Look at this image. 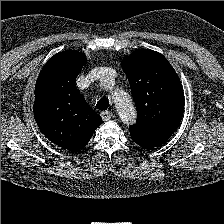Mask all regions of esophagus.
Instances as JSON below:
<instances>
[{
	"label": "esophagus",
	"mask_w": 224,
	"mask_h": 224,
	"mask_svg": "<svg viewBox=\"0 0 224 224\" xmlns=\"http://www.w3.org/2000/svg\"><path fill=\"white\" fill-rule=\"evenodd\" d=\"M112 117H113V114H112V112H110V111H103V112L101 113V118H102L103 121H108V120H110Z\"/></svg>",
	"instance_id": "34e87169"
}]
</instances>
